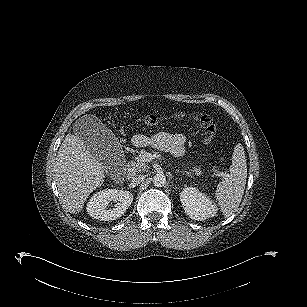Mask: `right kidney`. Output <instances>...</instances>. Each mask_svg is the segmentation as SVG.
<instances>
[{"mask_svg": "<svg viewBox=\"0 0 307 307\" xmlns=\"http://www.w3.org/2000/svg\"><path fill=\"white\" fill-rule=\"evenodd\" d=\"M133 194L126 190L108 189L95 194L87 204L90 216L100 221L115 220L124 215L133 201ZM110 201L115 202L113 208L106 209Z\"/></svg>", "mask_w": 307, "mask_h": 307, "instance_id": "obj_1", "label": "right kidney"}]
</instances>
